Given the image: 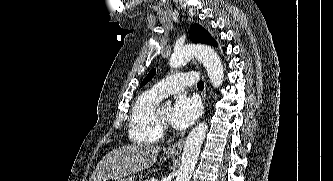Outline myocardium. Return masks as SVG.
<instances>
[{"label":"myocardium","mask_w":333,"mask_h":181,"mask_svg":"<svg viewBox=\"0 0 333 181\" xmlns=\"http://www.w3.org/2000/svg\"><path fill=\"white\" fill-rule=\"evenodd\" d=\"M161 108H162V105H158V107L155 110L154 117H155V121H156L157 125L162 130V129L167 127V121L163 120L162 117H161V113H160Z\"/></svg>","instance_id":"1"}]
</instances>
